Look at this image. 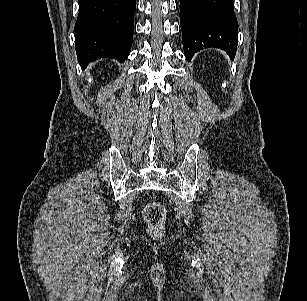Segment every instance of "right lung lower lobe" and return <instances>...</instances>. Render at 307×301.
<instances>
[{
  "label": "right lung lower lobe",
  "mask_w": 307,
  "mask_h": 301,
  "mask_svg": "<svg viewBox=\"0 0 307 301\" xmlns=\"http://www.w3.org/2000/svg\"><path fill=\"white\" fill-rule=\"evenodd\" d=\"M74 27L76 53L82 69L98 58L124 62L131 51L135 0H78Z\"/></svg>",
  "instance_id": "obj_1"
}]
</instances>
